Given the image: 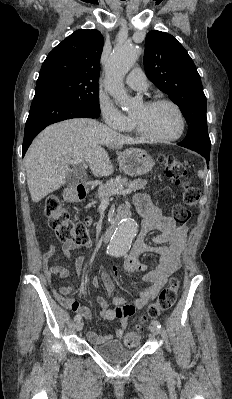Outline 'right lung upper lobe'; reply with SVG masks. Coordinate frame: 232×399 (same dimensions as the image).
Returning a JSON list of instances; mask_svg holds the SVG:
<instances>
[{"mask_svg": "<svg viewBox=\"0 0 232 399\" xmlns=\"http://www.w3.org/2000/svg\"><path fill=\"white\" fill-rule=\"evenodd\" d=\"M104 39L98 30H77L47 56L37 81L65 77L98 83Z\"/></svg>", "mask_w": 232, "mask_h": 399, "instance_id": "cb5924a9", "label": "right lung upper lobe"}]
</instances>
